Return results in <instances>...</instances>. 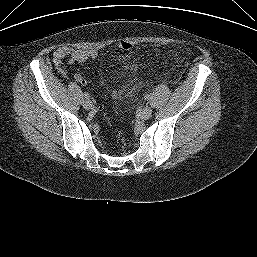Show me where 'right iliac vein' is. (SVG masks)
<instances>
[{
  "label": "right iliac vein",
  "mask_w": 257,
  "mask_h": 257,
  "mask_svg": "<svg viewBox=\"0 0 257 257\" xmlns=\"http://www.w3.org/2000/svg\"><path fill=\"white\" fill-rule=\"evenodd\" d=\"M83 107L86 109V110H91L93 109V103L90 101V100H86L83 102Z\"/></svg>",
  "instance_id": "1"
}]
</instances>
